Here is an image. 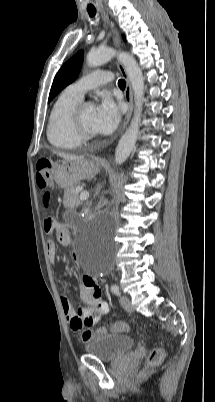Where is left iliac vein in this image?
I'll return each instance as SVG.
<instances>
[{
  "instance_id": "1",
  "label": "left iliac vein",
  "mask_w": 215,
  "mask_h": 402,
  "mask_svg": "<svg viewBox=\"0 0 215 402\" xmlns=\"http://www.w3.org/2000/svg\"><path fill=\"white\" fill-rule=\"evenodd\" d=\"M120 304L126 311H132V305L129 297L123 295L120 297Z\"/></svg>"
}]
</instances>
